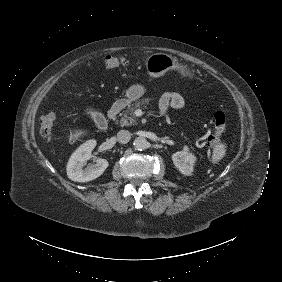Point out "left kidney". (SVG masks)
Masks as SVG:
<instances>
[{"mask_svg":"<svg viewBox=\"0 0 282 282\" xmlns=\"http://www.w3.org/2000/svg\"><path fill=\"white\" fill-rule=\"evenodd\" d=\"M196 160V156L190 153L189 147L186 145L183 147L182 151H178L172 155L173 164L186 176L193 174Z\"/></svg>","mask_w":282,"mask_h":282,"instance_id":"5707ae66","label":"left kidney"}]
</instances>
